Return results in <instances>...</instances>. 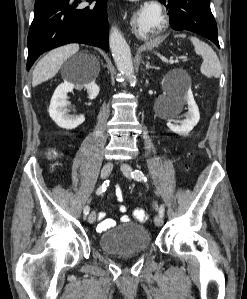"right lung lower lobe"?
<instances>
[{
    "label": "right lung lower lobe",
    "mask_w": 247,
    "mask_h": 299,
    "mask_svg": "<svg viewBox=\"0 0 247 299\" xmlns=\"http://www.w3.org/2000/svg\"><path fill=\"white\" fill-rule=\"evenodd\" d=\"M36 0L28 34L27 70L44 52L68 43H83L108 51L107 0Z\"/></svg>",
    "instance_id": "obj_1"
}]
</instances>
